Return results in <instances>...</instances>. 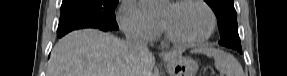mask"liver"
<instances>
[{"label": "liver", "mask_w": 287, "mask_h": 76, "mask_svg": "<svg viewBox=\"0 0 287 76\" xmlns=\"http://www.w3.org/2000/svg\"><path fill=\"white\" fill-rule=\"evenodd\" d=\"M160 56L169 62L180 52ZM154 64L150 52L131 55L126 43L112 34L82 29L70 32L56 43L47 76H152Z\"/></svg>", "instance_id": "6515ba94"}]
</instances>
